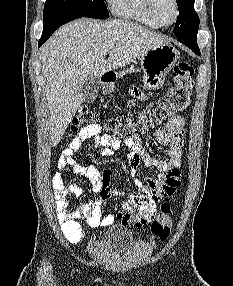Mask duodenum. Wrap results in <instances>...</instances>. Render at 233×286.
<instances>
[{"mask_svg":"<svg viewBox=\"0 0 233 286\" xmlns=\"http://www.w3.org/2000/svg\"><path fill=\"white\" fill-rule=\"evenodd\" d=\"M115 81V74L113 72H106L102 76V82L109 86Z\"/></svg>","mask_w":233,"mask_h":286,"instance_id":"obj_1","label":"duodenum"}]
</instances>
